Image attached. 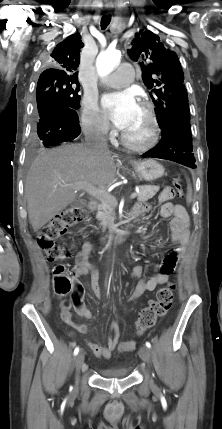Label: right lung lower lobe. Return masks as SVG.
<instances>
[{"label":"right lung lower lobe","mask_w":222,"mask_h":429,"mask_svg":"<svg viewBox=\"0 0 222 429\" xmlns=\"http://www.w3.org/2000/svg\"><path fill=\"white\" fill-rule=\"evenodd\" d=\"M81 133L75 109L54 103L39 114L37 134L45 147L75 139Z\"/></svg>","instance_id":"right-lung-lower-lobe-1"}]
</instances>
